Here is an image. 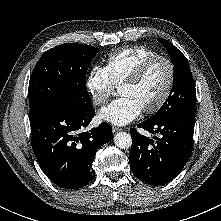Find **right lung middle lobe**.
I'll list each match as a JSON object with an SVG mask.
<instances>
[{"label":"right lung middle lobe","instance_id":"1","mask_svg":"<svg viewBox=\"0 0 221 221\" xmlns=\"http://www.w3.org/2000/svg\"><path fill=\"white\" fill-rule=\"evenodd\" d=\"M99 49L66 43L46 51L29 82L30 119L52 107L84 111L92 107L86 72Z\"/></svg>","mask_w":221,"mask_h":221}]
</instances>
